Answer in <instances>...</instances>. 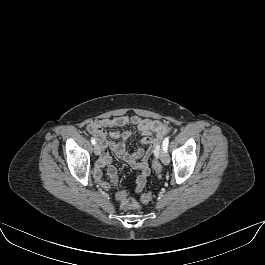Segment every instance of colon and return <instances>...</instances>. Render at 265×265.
<instances>
[{
	"label": "colon",
	"instance_id": "obj_1",
	"mask_svg": "<svg viewBox=\"0 0 265 265\" xmlns=\"http://www.w3.org/2000/svg\"><path fill=\"white\" fill-rule=\"evenodd\" d=\"M152 167L158 175L161 174L162 166L158 160V155L155 156L152 162ZM116 197L123 209H136L139 207L138 202L135 201L133 198H130L128 194L124 191L119 192ZM152 198L153 196L151 193H145L141 196V201L144 204H150L152 201Z\"/></svg>",
	"mask_w": 265,
	"mask_h": 265
}]
</instances>
